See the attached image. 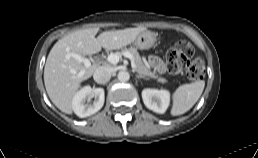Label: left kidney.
Here are the masks:
<instances>
[{
  "mask_svg": "<svg viewBox=\"0 0 258 158\" xmlns=\"http://www.w3.org/2000/svg\"><path fill=\"white\" fill-rule=\"evenodd\" d=\"M142 99L148 109L163 114L170 105V92L165 89H144Z\"/></svg>",
  "mask_w": 258,
  "mask_h": 158,
  "instance_id": "1",
  "label": "left kidney"
}]
</instances>
